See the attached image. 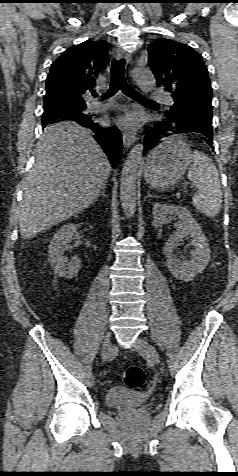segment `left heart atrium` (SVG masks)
<instances>
[{"label": "left heart atrium", "instance_id": "left-heart-atrium-1", "mask_svg": "<svg viewBox=\"0 0 238 476\" xmlns=\"http://www.w3.org/2000/svg\"><path fill=\"white\" fill-rule=\"evenodd\" d=\"M120 123L129 128H136L141 123V117L137 113H130L122 117Z\"/></svg>", "mask_w": 238, "mask_h": 476}]
</instances>
